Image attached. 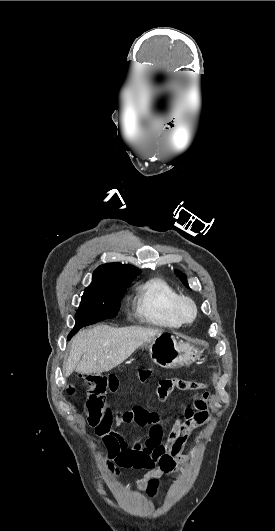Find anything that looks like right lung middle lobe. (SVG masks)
<instances>
[{
	"label": "right lung middle lobe",
	"instance_id": "1",
	"mask_svg": "<svg viewBox=\"0 0 275 531\" xmlns=\"http://www.w3.org/2000/svg\"><path fill=\"white\" fill-rule=\"evenodd\" d=\"M130 283H91L81 298L80 307L75 316V327L68 335V339L77 333L81 327L115 317L120 308V301L124 296L125 288Z\"/></svg>",
	"mask_w": 275,
	"mask_h": 531
}]
</instances>
